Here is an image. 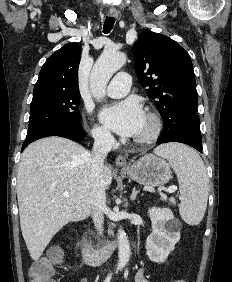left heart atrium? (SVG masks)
Here are the masks:
<instances>
[{
	"instance_id": "39dd6f15",
	"label": "left heart atrium",
	"mask_w": 232,
	"mask_h": 282,
	"mask_svg": "<svg viewBox=\"0 0 232 282\" xmlns=\"http://www.w3.org/2000/svg\"><path fill=\"white\" fill-rule=\"evenodd\" d=\"M101 121L115 133L124 136H136L145 120L144 110L135 98H128L105 107L100 113Z\"/></svg>"
}]
</instances>
